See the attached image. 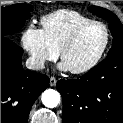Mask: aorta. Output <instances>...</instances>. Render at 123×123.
Listing matches in <instances>:
<instances>
[{"mask_svg":"<svg viewBox=\"0 0 123 123\" xmlns=\"http://www.w3.org/2000/svg\"><path fill=\"white\" fill-rule=\"evenodd\" d=\"M42 103L48 108H54L60 103V94L53 89H47L42 93Z\"/></svg>","mask_w":123,"mask_h":123,"instance_id":"1","label":"aorta"}]
</instances>
